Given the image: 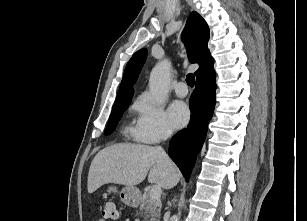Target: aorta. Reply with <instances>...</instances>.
<instances>
[{
    "label": "aorta",
    "instance_id": "obj_1",
    "mask_svg": "<svg viewBox=\"0 0 307 221\" xmlns=\"http://www.w3.org/2000/svg\"><path fill=\"white\" fill-rule=\"evenodd\" d=\"M171 63L168 60L160 61L152 69L149 78L150 93L157 104L163 103L170 88ZM171 221H179V215H174Z\"/></svg>",
    "mask_w": 307,
    "mask_h": 221
}]
</instances>
